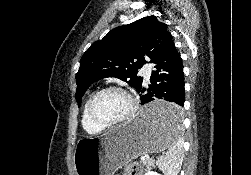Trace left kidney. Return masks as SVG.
I'll use <instances>...</instances> for the list:
<instances>
[{
  "instance_id": "obj_1",
  "label": "left kidney",
  "mask_w": 251,
  "mask_h": 175,
  "mask_svg": "<svg viewBox=\"0 0 251 175\" xmlns=\"http://www.w3.org/2000/svg\"><path fill=\"white\" fill-rule=\"evenodd\" d=\"M145 175H161V173H157V171H150V169H148V171H146Z\"/></svg>"
}]
</instances>
